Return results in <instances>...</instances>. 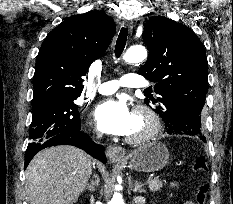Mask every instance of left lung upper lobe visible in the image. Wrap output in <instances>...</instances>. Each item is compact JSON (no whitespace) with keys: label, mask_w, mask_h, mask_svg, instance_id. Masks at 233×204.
I'll use <instances>...</instances> for the list:
<instances>
[{"label":"left lung upper lobe","mask_w":233,"mask_h":204,"mask_svg":"<svg viewBox=\"0 0 233 204\" xmlns=\"http://www.w3.org/2000/svg\"><path fill=\"white\" fill-rule=\"evenodd\" d=\"M149 57L139 74L157 82L156 98L145 99L160 117L177 99H194L203 108L208 90V62L204 46L187 26L163 16L150 17L142 33ZM202 111V109H201ZM201 129H180L176 134L196 135Z\"/></svg>","instance_id":"left-lung-upper-lobe-1"}]
</instances>
